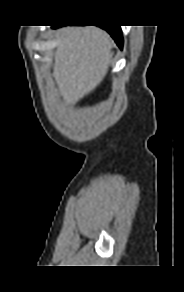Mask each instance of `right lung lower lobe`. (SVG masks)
<instances>
[{"label": "right lung lower lobe", "instance_id": "obj_1", "mask_svg": "<svg viewBox=\"0 0 184 292\" xmlns=\"http://www.w3.org/2000/svg\"><path fill=\"white\" fill-rule=\"evenodd\" d=\"M53 27H60V26H53ZM101 28L105 29L115 40L117 45L122 48L123 46V37H122V31L120 26H112V27H103L100 26Z\"/></svg>", "mask_w": 184, "mask_h": 292}]
</instances>
